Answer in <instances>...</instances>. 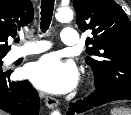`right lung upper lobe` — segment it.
<instances>
[{
    "mask_svg": "<svg viewBox=\"0 0 131 115\" xmlns=\"http://www.w3.org/2000/svg\"><path fill=\"white\" fill-rule=\"evenodd\" d=\"M34 11L30 0H0V57H4L10 47L8 37L33 20Z\"/></svg>",
    "mask_w": 131,
    "mask_h": 115,
    "instance_id": "cb5924a9",
    "label": "right lung upper lobe"
}]
</instances>
